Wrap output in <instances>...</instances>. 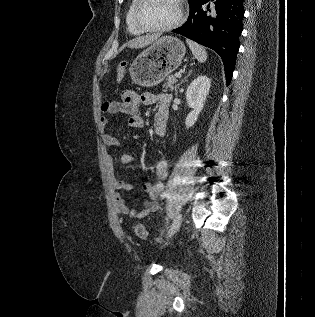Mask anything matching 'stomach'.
<instances>
[{"label": "stomach", "mask_w": 315, "mask_h": 317, "mask_svg": "<svg viewBox=\"0 0 315 317\" xmlns=\"http://www.w3.org/2000/svg\"><path fill=\"white\" fill-rule=\"evenodd\" d=\"M185 53V45L178 38L157 39L132 62L129 72L133 83L144 87L158 85L180 66Z\"/></svg>", "instance_id": "0dacf381"}]
</instances>
